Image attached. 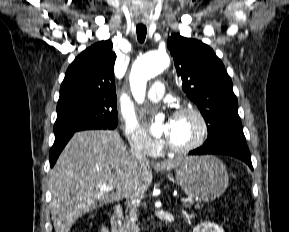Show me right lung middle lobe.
I'll list each match as a JSON object with an SVG mask.
<instances>
[{
  "label": "right lung middle lobe",
  "instance_id": "right-lung-middle-lobe-1",
  "mask_svg": "<svg viewBox=\"0 0 289 232\" xmlns=\"http://www.w3.org/2000/svg\"><path fill=\"white\" fill-rule=\"evenodd\" d=\"M117 102L99 99H78L57 106L55 137L80 130L115 129Z\"/></svg>",
  "mask_w": 289,
  "mask_h": 232
}]
</instances>
